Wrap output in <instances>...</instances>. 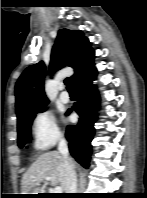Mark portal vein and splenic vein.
Masks as SVG:
<instances>
[{
    "mask_svg": "<svg viewBox=\"0 0 147 198\" xmlns=\"http://www.w3.org/2000/svg\"><path fill=\"white\" fill-rule=\"evenodd\" d=\"M45 181H51V177H46ZM53 193H62V188L60 186H56L53 189Z\"/></svg>",
    "mask_w": 147,
    "mask_h": 198,
    "instance_id": "18ae733b",
    "label": "portal vein and splenic vein"
}]
</instances>
